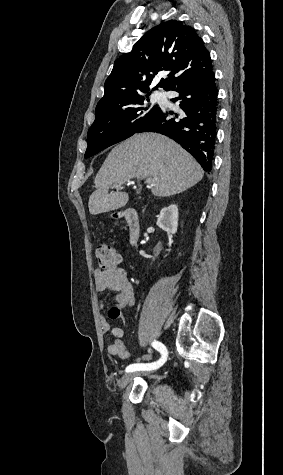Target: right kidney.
I'll return each instance as SVG.
<instances>
[{
    "label": "right kidney",
    "instance_id": "right-kidney-1",
    "mask_svg": "<svg viewBox=\"0 0 283 475\" xmlns=\"http://www.w3.org/2000/svg\"><path fill=\"white\" fill-rule=\"evenodd\" d=\"M156 224L161 230L176 234L178 226V208L176 204H171L168 208H162Z\"/></svg>",
    "mask_w": 283,
    "mask_h": 475
}]
</instances>
